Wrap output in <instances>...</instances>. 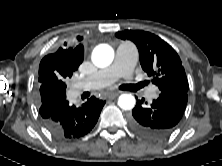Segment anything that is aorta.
Listing matches in <instances>:
<instances>
[{"mask_svg":"<svg viewBox=\"0 0 222 166\" xmlns=\"http://www.w3.org/2000/svg\"><path fill=\"white\" fill-rule=\"evenodd\" d=\"M114 59V50L107 44H100L92 52V61L97 67L109 66ZM136 104L135 97L131 94L119 96L118 105L124 110H131Z\"/></svg>","mask_w":222,"mask_h":166,"instance_id":"1","label":"aorta"}]
</instances>
